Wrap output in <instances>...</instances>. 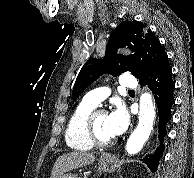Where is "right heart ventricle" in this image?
Listing matches in <instances>:
<instances>
[{
  "mask_svg": "<svg viewBox=\"0 0 194 178\" xmlns=\"http://www.w3.org/2000/svg\"><path fill=\"white\" fill-rule=\"evenodd\" d=\"M95 108L96 106L83 100L72 112L65 130V141L71 149L88 151L94 147L87 137L85 120L88 114Z\"/></svg>",
  "mask_w": 194,
  "mask_h": 178,
  "instance_id": "e07e8e85",
  "label": "right heart ventricle"
}]
</instances>
